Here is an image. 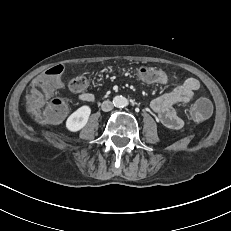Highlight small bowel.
<instances>
[{
  "instance_id": "small-bowel-1",
  "label": "small bowel",
  "mask_w": 231,
  "mask_h": 231,
  "mask_svg": "<svg viewBox=\"0 0 231 231\" xmlns=\"http://www.w3.org/2000/svg\"><path fill=\"white\" fill-rule=\"evenodd\" d=\"M200 84L194 78L186 79L181 85L175 87L170 92L157 97L150 103L151 111L156 114L158 121L169 129H180L183 120L179 117L176 105L180 103H192L195 100L196 91ZM73 91V90H72ZM77 94L80 101L91 104L95 97L85 91H73Z\"/></svg>"
}]
</instances>
